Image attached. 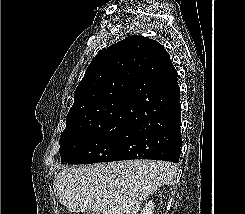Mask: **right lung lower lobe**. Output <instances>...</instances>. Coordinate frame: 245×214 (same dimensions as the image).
Listing matches in <instances>:
<instances>
[{
	"instance_id": "1",
	"label": "right lung lower lobe",
	"mask_w": 245,
	"mask_h": 214,
	"mask_svg": "<svg viewBox=\"0 0 245 214\" xmlns=\"http://www.w3.org/2000/svg\"><path fill=\"white\" fill-rule=\"evenodd\" d=\"M140 113L129 123L119 160L153 159L178 162L181 154V106L177 71L167 64L166 83L156 95L142 96Z\"/></svg>"
}]
</instances>
